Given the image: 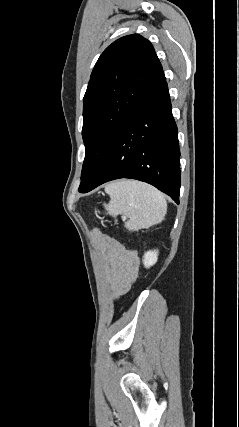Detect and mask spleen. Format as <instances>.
<instances>
[{
  "label": "spleen",
  "mask_w": 239,
  "mask_h": 427,
  "mask_svg": "<svg viewBox=\"0 0 239 427\" xmlns=\"http://www.w3.org/2000/svg\"><path fill=\"white\" fill-rule=\"evenodd\" d=\"M110 202L104 204L109 215L121 214L125 227L138 231L160 223L167 211L164 195L153 186L136 180H120L107 184Z\"/></svg>",
  "instance_id": "1"
}]
</instances>
